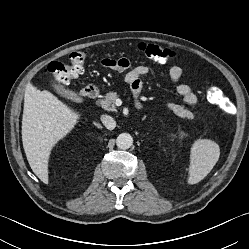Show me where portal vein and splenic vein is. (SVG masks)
<instances>
[{"mask_svg": "<svg viewBox=\"0 0 249 249\" xmlns=\"http://www.w3.org/2000/svg\"><path fill=\"white\" fill-rule=\"evenodd\" d=\"M116 103L119 104V105H121L122 102H121L120 99H117V100H116Z\"/></svg>", "mask_w": 249, "mask_h": 249, "instance_id": "obj_1", "label": "portal vein and splenic vein"}]
</instances>
